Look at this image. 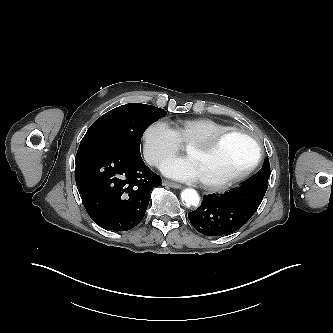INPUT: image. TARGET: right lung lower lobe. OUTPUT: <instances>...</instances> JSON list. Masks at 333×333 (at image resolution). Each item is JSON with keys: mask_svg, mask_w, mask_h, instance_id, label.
Here are the masks:
<instances>
[{"mask_svg": "<svg viewBox=\"0 0 333 333\" xmlns=\"http://www.w3.org/2000/svg\"><path fill=\"white\" fill-rule=\"evenodd\" d=\"M76 185L91 219L113 231H127L143 219L152 187L161 178L141 158L127 150L107 146L79 147Z\"/></svg>", "mask_w": 333, "mask_h": 333, "instance_id": "1", "label": "right lung lower lobe"}]
</instances>
